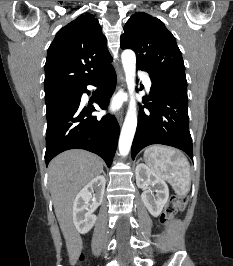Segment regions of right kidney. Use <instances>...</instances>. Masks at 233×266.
<instances>
[{
	"instance_id": "ca27d5eb",
	"label": "right kidney",
	"mask_w": 233,
	"mask_h": 266,
	"mask_svg": "<svg viewBox=\"0 0 233 266\" xmlns=\"http://www.w3.org/2000/svg\"><path fill=\"white\" fill-rule=\"evenodd\" d=\"M105 184V177L97 176L77 194L73 203V222L79 233L85 234L94 226L97 220L94 212L102 203Z\"/></svg>"
}]
</instances>
